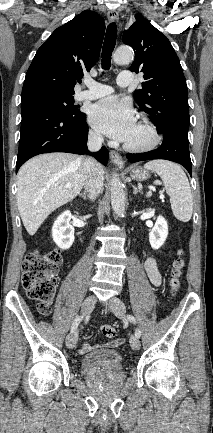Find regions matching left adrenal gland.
<instances>
[{
  "instance_id": "1",
  "label": "left adrenal gland",
  "mask_w": 213,
  "mask_h": 433,
  "mask_svg": "<svg viewBox=\"0 0 213 433\" xmlns=\"http://www.w3.org/2000/svg\"><path fill=\"white\" fill-rule=\"evenodd\" d=\"M133 187V194L135 195V194H137V193H142V189L141 188H137V187H135V186H132Z\"/></svg>"
}]
</instances>
